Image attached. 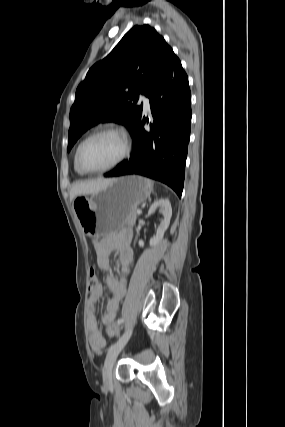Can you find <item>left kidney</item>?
<instances>
[{
    "mask_svg": "<svg viewBox=\"0 0 285 427\" xmlns=\"http://www.w3.org/2000/svg\"><path fill=\"white\" fill-rule=\"evenodd\" d=\"M157 209H159V211L163 214L164 219L161 221L160 225L158 226L157 231H156V235L150 240L151 246L157 245L162 240L164 233L170 224V219L172 216L171 204H170L169 200L166 198L165 199L162 198V199L154 202V204H152V206L150 207L148 213L151 215ZM139 246L143 247L144 242L140 240Z\"/></svg>",
    "mask_w": 285,
    "mask_h": 427,
    "instance_id": "left-kidney-1",
    "label": "left kidney"
}]
</instances>
